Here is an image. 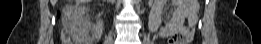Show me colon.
<instances>
[{"instance_id": "5ec220e1", "label": "colon", "mask_w": 261, "mask_h": 44, "mask_svg": "<svg viewBox=\"0 0 261 44\" xmlns=\"http://www.w3.org/2000/svg\"><path fill=\"white\" fill-rule=\"evenodd\" d=\"M191 2H197L194 0H190ZM170 44H184L185 43V38L183 35H178L169 41Z\"/></svg>"}]
</instances>
